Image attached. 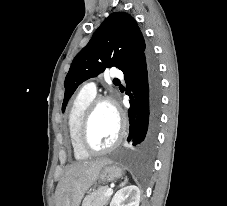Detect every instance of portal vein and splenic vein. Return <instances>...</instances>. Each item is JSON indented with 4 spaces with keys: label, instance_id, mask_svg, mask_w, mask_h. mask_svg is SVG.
Segmentation results:
<instances>
[{
    "label": "portal vein and splenic vein",
    "instance_id": "portal-vein-and-splenic-vein-1",
    "mask_svg": "<svg viewBox=\"0 0 227 206\" xmlns=\"http://www.w3.org/2000/svg\"><path fill=\"white\" fill-rule=\"evenodd\" d=\"M113 194V190L109 188L106 192V196H111Z\"/></svg>",
    "mask_w": 227,
    "mask_h": 206
}]
</instances>
